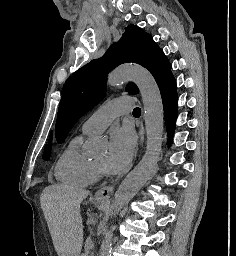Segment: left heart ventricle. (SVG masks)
<instances>
[{
	"instance_id": "obj_1",
	"label": "left heart ventricle",
	"mask_w": 236,
	"mask_h": 256,
	"mask_svg": "<svg viewBox=\"0 0 236 256\" xmlns=\"http://www.w3.org/2000/svg\"><path fill=\"white\" fill-rule=\"evenodd\" d=\"M105 161H106V155H105V153L104 154H102V155H100L97 159H96V163L97 164H102V165H104L105 164Z\"/></svg>"
}]
</instances>
